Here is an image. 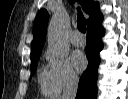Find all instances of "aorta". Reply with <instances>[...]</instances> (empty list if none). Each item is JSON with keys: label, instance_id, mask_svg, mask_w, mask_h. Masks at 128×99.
Wrapping results in <instances>:
<instances>
[{"label": "aorta", "instance_id": "obj_1", "mask_svg": "<svg viewBox=\"0 0 128 99\" xmlns=\"http://www.w3.org/2000/svg\"><path fill=\"white\" fill-rule=\"evenodd\" d=\"M66 17L63 12L56 13L48 28V44L59 56H65L69 51L66 37Z\"/></svg>", "mask_w": 128, "mask_h": 99}]
</instances>
